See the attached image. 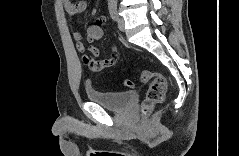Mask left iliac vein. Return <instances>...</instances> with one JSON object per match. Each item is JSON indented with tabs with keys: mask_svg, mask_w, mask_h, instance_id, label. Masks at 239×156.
Instances as JSON below:
<instances>
[{
	"mask_svg": "<svg viewBox=\"0 0 239 156\" xmlns=\"http://www.w3.org/2000/svg\"><path fill=\"white\" fill-rule=\"evenodd\" d=\"M117 23H118L119 30L123 32L125 30V21H124V19L122 17H119Z\"/></svg>",
	"mask_w": 239,
	"mask_h": 156,
	"instance_id": "left-iliac-vein-1",
	"label": "left iliac vein"
}]
</instances>
